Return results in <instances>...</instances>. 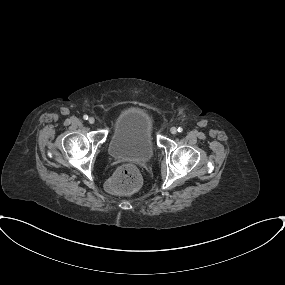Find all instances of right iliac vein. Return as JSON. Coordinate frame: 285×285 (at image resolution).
Masks as SVG:
<instances>
[{"label": "right iliac vein", "instance_id": "63e3f726", "mask_svg": "<svg viewBox=\"0 0 285 285\" xmlns=\"http://www.w3.org/2000/svg\"><path fill=\"white\" fill-rule=\"evenodd\" d=\"M88 122H89L90 124H94V123H95V119H94L93 117H90L89 120H88Z\"/></svg>", "mask_w": 285, "mask_h": 285}]
</instances>
